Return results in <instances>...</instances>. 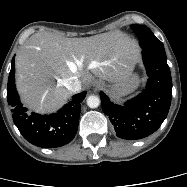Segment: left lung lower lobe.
Listing matches in <instances>:
<instances>
[{
	"instance_id": "0a47b994",
	"label": "left lung lower lobe",
	"mask_w": 187,
	"mask_h": 187,
	"mask_svg": "<svg viewBox=\"0 0 187 187\" xmlns=\"http://www.w3.org/2000/svg\"><path fill=\"white\" fill-rule=\"evenodd\" d=\"M148 79L134 98L118 105L100 92L102 109L122 139L137 140L151 135L165 120L172 97V79L166 54L142 51Z\"/></svg>"
}]
</instances>
